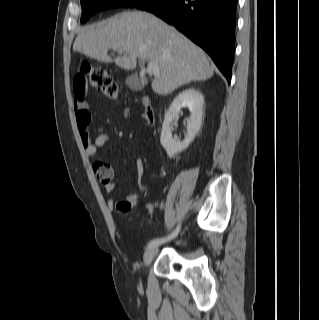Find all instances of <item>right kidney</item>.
I'll return each instance as SVG.
<instances>
[{"label":"right kidney","mask_w":319,"mask_h":320,"mask_svg":"<svg viewBox=\"0 0 319 320\" xmlns=\"http://www.w3.org/2000/svg\"><path fill=\"white\" fill-rule=\"evenodd\" d=\"M204 97L200 91L190 88L182 91L165 113L160 141L169 158L188 148L202 125ZM182 107H188L191 115L187 123V135L183 142L173 140L170 123L178 116Z\"/></svg>","instance_id":"ca27d5eb"}]
</instances>
